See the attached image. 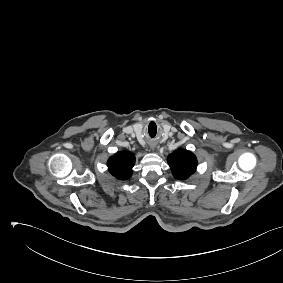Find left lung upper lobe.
<instances>
[{"mask_svg": "<svg viewBox=\"0 0 283 283\" xmlns=\"http://www.w3.org/2000/svg\"><path fill=\"white\" fill-rule=\"evenodd\" d=\"M173 176L179 180L189 178L197 168V159L195 155L185 149H178L167 158Z\"/></svg>", "mask_w": 283, "mask_h": 283, "instance_id": "left-lung-upper-lobe-1", "label": "left lung upper lobe"}]
</instances>
